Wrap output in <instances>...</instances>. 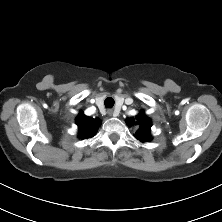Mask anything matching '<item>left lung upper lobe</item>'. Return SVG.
Listing matches in <instances>:
<instances>
[{"label":"left lung upper lobe","instance_id":"obj_1","mask_svg":"<svg viewBox=\"0 0 222 222\" xmlns=\"http://www.w3.org/2000/svg\"><path fill=\"white\" fill-rule=\"evenodd\" d=\"M128 126L133 124H139L140 128L136 131L135 137L141 142H148L151 140V119L147 118L144 113L139 114L134 118H128L126 120Z\"/></svg>","mask_w":222,"mask_h":222}]
</instances>
